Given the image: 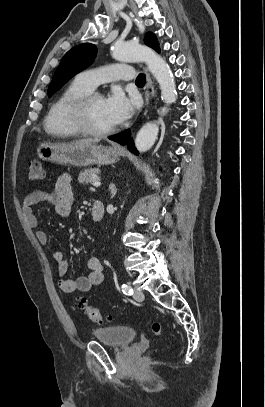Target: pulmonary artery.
<instances>
[{
	"label": "pulmonary artery",
	"instance_id": "obj_1",
	"mask_svg": "<svg viewBox=\"0 0 265 407\" xmlns=\"http://www.w3.org/2000/svg\"><path fill=\"white\" fill-rule=\"evenodd\" d=\"M134 77L133 68L128 65H107L79 73L76 80L89 90L110 81H130Z\"/></svg>",
	"mask_w": 265,
	"mask_h": 407
}]
</instances>
